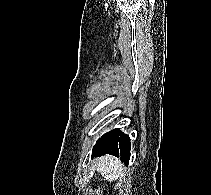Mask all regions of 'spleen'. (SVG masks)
<instances>
[{
  "instance_id": "1",
  "label": "spleen",
  "mask_w": 211,
  "mask_h": 195,
  "mask_svg": "<svg viewBox=\"0 0 211 195\" xmlns=\"http://www.w3.org/2000/svg\"><path fill=\"white\" fill-rule=\"evenodd\" d=\"M95 167L109 181L118 180V178L123 177L125 174L123 163L110 155H106L98 160Z\"/></svg>"
}]
</instances>
